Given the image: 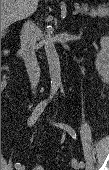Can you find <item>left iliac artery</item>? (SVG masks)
<instances>
[{
  "mask_svg": "<svg viewBox=\"0 0 109 170\" xmlns=\"http://www.w3.org/2000/svg\"><path fill=\"white\" fill-rule=\"evenodd\" d=\"M51 123H53V125H55L57 127H60L64 130H66L74 139L76 138V133H75L74 129L72 127H70L69 125L62 124V123H55V122H52V121H51ZM80 165H81V167L85 166L83 161H80Z\"/></svg>",
  "mask_w": 109,
  "mask_h": 170,
  "instance_id": "left-iliac-artery-1",
  "label": "left iliac artery"
}]
</instances>
